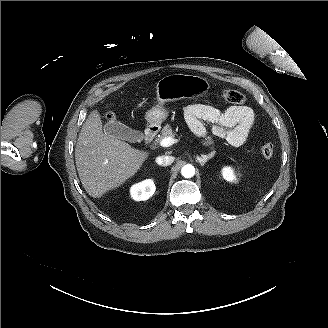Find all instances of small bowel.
<instances>
[{"mask_svg":"<svg viewBox=\"0 0 328 328\" xmlns=\"http://www.w3.org/2000/svg\"><path fill=\"white\" fill-rule=\"evenodd\" d=\"M184 117L191 131L202 137L206 133L204 122L212 124V132L232 146L243 145L253 126L255 115L249 106H230L224 111L214 106L194 103L184 107Z\"/></svg>","mask_w":328,"mask_h":328,"instance_id":"small-bowel-1","label":"small bowel"}]
</instances>
